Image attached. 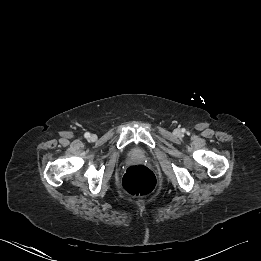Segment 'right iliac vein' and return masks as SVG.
I'll return each instance as SVG.
<instances>
[{
  "instance_id": "right-iliac-vein-1",
  "label": "right iliac vein",
  "mask_w": 261,
  "mask_h": 261,
  "mask_svg": "<svg viewBox=\"0 0 261 261\" xmlns=\"http://www.w3.org/2000/svg\"><path fill=\"white\" fill-rule=\"evenodd\" d=\"M90 139H91V140H95V139H96V136H95V135H91V136H90Z\"/></svg>"
}]
</instances>
